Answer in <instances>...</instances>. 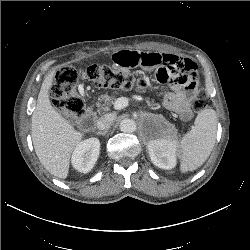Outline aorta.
Here are the masks:
<instances>
[{
	"mask_svg": "<svg viewBox=\"0 0 250 250\" xmlns=\"http://www.w3.org/2000/svg\"><path fill=\"white\" fill-rule=\"evenodd\" d=\"M119 128L124 133H133L136 130V123L132 119H123Z\"/></svg>",
	"mask_w": 250,
	"mask_h": 250,
	"instance_id": "762f6f07",
	"label": "aorta"
}]
</instances>
